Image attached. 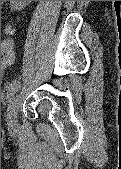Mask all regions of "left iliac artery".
Wrapping results in <instances>:
<instances>
[{"label":"left iliac artery","instance_id":"44dca946","mask_svg":"<svg viewBox=\"0 0 121 169\" xmlns=\"http://www.w3.org/2000/svg\"><path fill=\"white\" fill-rule=\"evenodd\" d=\"M20 80L19 79H15L13 80L9 86H8V92H7V97L9 102L11 103L15 93L18 91L19 87H20Z\"/></svg>","mask_w":121,"mask_h":169}]
</instances>
